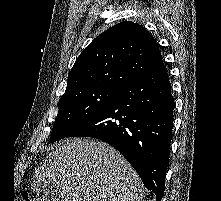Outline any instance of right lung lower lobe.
<instances>
[{"instance_id": "98d812e1", "label": "right lung lower lobe", "mask_w": 221, "mask_h": 201, "mask_svg": "<svg viewBox=\"0 0 221 201\" xmlns=\"http://www.w3.org/2000/svg\"><path fill=\"white\" fill-rule=\"evenodd\" d=\"M174 99L162 63L118 90L68 137H91L116 148L161 201L172 139Z\"/></svg>"}]
</instances>
